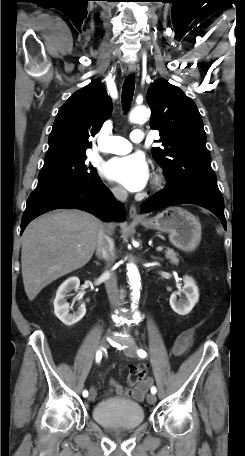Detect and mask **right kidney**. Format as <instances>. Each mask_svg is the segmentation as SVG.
I'll return each instance as SVG.
<instances>
[{
    "mask_svg": "<svg viewBox=\"0 0 245 456\" xmlns=\"http://www.w3.org/2000/svg\"><path fill=\"white\" fill-rule=\"evenodd\" d=\"M79 286L80 280L78 277L68 278L60 285L54 299V313L56 317L66 326L76 324L86 313L85 303H82L78 310L73 314L69 313V303L67 302L66 297H68V294L71 291H77Z\"/></svg>",
    "mask_w": 245,
    "mask_h": 456,
    "instance_id": "obj_1",
    "label": "right kidney"
}]
</instances>
